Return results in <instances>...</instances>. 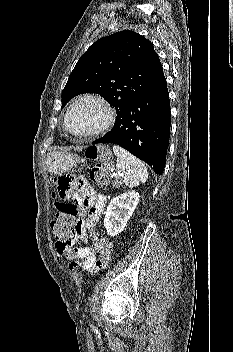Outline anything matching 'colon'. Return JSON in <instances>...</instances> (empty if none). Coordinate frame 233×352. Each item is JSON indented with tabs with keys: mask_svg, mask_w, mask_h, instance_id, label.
<instances>
[{
	"mask_svg": "<svg viewBox=\"0 0 233 352\" xmlns=\"http://www.w3.org/2000/svg\"><path fill=\"white\" fill-rule=\"evenodd\" d=\"M86 157L95 162L90 176L98 185H104L109 181L112 166V154L100 146H90L86 150ZM76 206L66 203L61 206L59 212L51 222L52 232L62 244L68 243V238L75 225ZM92 250L94 252V262L91 270L106 269L111 260L113 245L111 241L99 232L91 235Z\"/></svg>",
	"mask_w": 233,
	"mask_h": 352,
	"instance_id": "5ec220e1",
	"label": "colon"
}]
</instances>
